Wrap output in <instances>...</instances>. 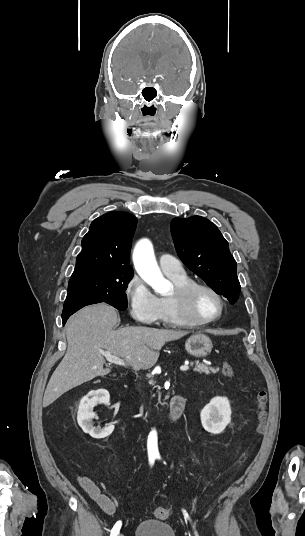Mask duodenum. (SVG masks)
Returning <instances> with one entry per match:
<instances>
[{"mask_svg":"<svg viewBox=\"0 0 305 536\" xmlns=\"http://www.w3.org/2000/svg\"><path fill=\"white\" fill-rule=\"evenodd\" d=\"M184 409V400L181 395H176L171 400L170 409L166 417L167 424H173L182 414Z\"/></svg>","mask_w":305,"mask_h":536,"instance_id":"1","label":"duodenum"}]
</instances>
